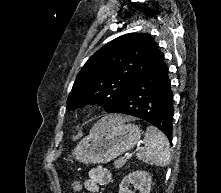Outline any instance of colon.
Returning <instances> with one entry per match:
<instances>
[{
  "label": "colon",
  "instance_id": "colon-1",
  "mask_svg": "<svg viewBox=\"0 0 221 193\" xmlns=\"http://www.w3.org/2000/svg\"><path fill=\"white\" fill-rule=\"evenodd\" d=\"M82 189V183L79 179H76L73 183H72V190L74 193H79Z\"/></svg>",
  "mask_w": 221,
  "mask_h": 193
}]
</instances>
